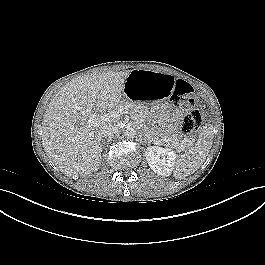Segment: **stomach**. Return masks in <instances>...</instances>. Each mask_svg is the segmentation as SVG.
<instances>
[{
  "instance_id": "0dacf381",
  "label": "stomach",
  "mask_w": 265,
  "mask_h": 265,
  "mask_svg": "<svg viewBox=\"0 0 265 265\" xmlns=\"http://www.w3.org/2000/svg\"><path fill=\"white\" fill-rule=\"evenodd\" d=\"M173 83L171 75L152 70H133L127 77L123 94L126 99L141 101L139 122L151 136H164L173 127L172 105L167 97Z\"/></svg>"
}]
</instances>
